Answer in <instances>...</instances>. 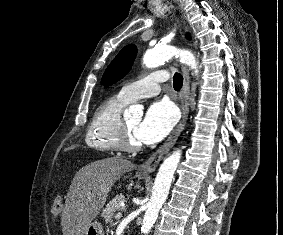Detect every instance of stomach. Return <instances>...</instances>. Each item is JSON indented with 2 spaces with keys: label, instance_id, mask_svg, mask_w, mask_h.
<instances>
[{
  "label": "stomach",
  "instance_id": "1",
  "mask_svg": "<svg viewBox=\"0 0 283 235\" xmlns=\"http://www.w3.org/2000/svg\"><path fill=\"white\" fill-rule=\"evenodd\" d=\"M136 177L138 179H143L145 178V175L136 173ZM84 235H104L102 224L97 220L91 222Z\"/></svg>",
  "mask_w": 283,
  "mask_h": 235
}]
</instances>
